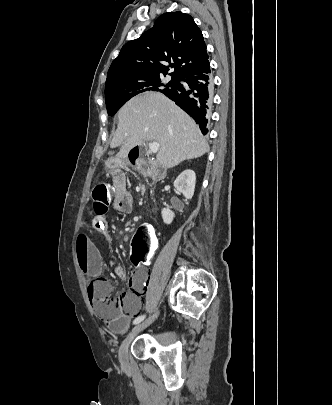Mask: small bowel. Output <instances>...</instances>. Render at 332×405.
Masks as SVG:
<instances>
[{"label":"small bowel","mask_w":332,"mask_h":405,"mask_svg":"<svg viewBox=\"0 0 332 405\" xmlns=\"http://www.w3.org/2000/svg\"><path fill=\"white\" fill-rule=\"evenodd\" d=\"M114 178L118 189L116 197L111 199V209L112 211L125 214L130 213L133 209V198L125 186L127 173L126 171H115ZM94 213L96 214L97 212L95 211ZM97 229L104 233L109 243L112 242L111 235L103 231L104 226L97 227ZM76 256L79 268L86 281L100 274L102 267L100 252L93 241L83 234H80L76 241ZM118 270L120 275L125 277L123 269L118 267ZM148 280L149 276L144 267H137L127 278L130 288L127 294L131 296V299L125 305L124 314L107 319L112 331L117 333L124 332L127 329L130 318L140 312L142 303L138 294H143L146 291Z\"/></svg>","instance_id":"1"}]
</instances>
